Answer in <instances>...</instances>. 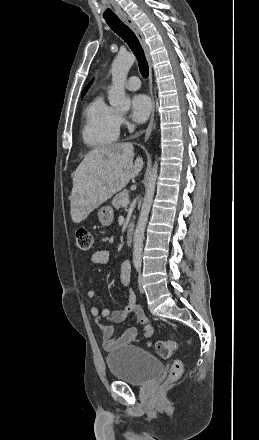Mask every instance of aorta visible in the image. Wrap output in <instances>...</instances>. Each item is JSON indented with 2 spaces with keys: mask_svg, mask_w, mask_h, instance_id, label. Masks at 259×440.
Wrapping results in <instances>:
<instances>
[{
  "mask_svg": "<svg viewBox=\"0 0 259 440\" xmlns=\"http://www.w3.org/2000/svg\"><path fill=\"white\" fill-rule=\"evenodd\" d=\"M135 56L131 53L118 54L113 60L111 67L112 74V86L109 90V103L112 107L120 111H128L131 106V100L125 93V83L127 80L128 72L135 62ZM158 176V164L155 162L149 178L142 204L138 223L134 232L133 238V260L135 262H141L143 239L145 227L148 220V215L151 209L156 181Z\"/></svg>",
  "mask_w": 259,
  "mask_h": 440,
  "instance_id": "obj_1",
  "label": "aorta"
}]
</instances>
